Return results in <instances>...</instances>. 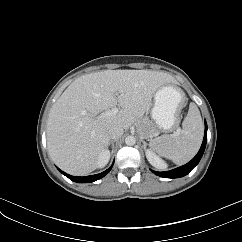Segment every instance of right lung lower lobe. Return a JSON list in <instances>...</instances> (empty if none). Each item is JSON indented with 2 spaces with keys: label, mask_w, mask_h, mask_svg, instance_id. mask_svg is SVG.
I'll use <instances>...</instances> for the list:
<instances>
[{
  "label": "right lung lower lobe",
  "mask_w": 242,
  "mask_h": 242,
  "mask_svg": "<svg viewBox=\"0 0 242 242\" xmlns=\"http://www.w3.org/2000/svg\"><path fill=\"white\" fill-rule=\"evenodd\" d=\"M111 168H112V166L102 173H99L96 175L85 176V177H75V176L66 174L65 172L61 171L60 169H59V171L74 182L89 183V182H94V181L99 180L100 178L104 177L111 170Z\"/></svg>",
  "instance_id": "obj_1"
}]
</instances>
